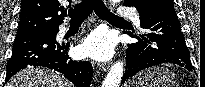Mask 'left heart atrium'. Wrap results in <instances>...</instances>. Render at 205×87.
Here are the masks:
<instances>
[{
  "label": "left heart atrium",
  "mask_w": 205,
  "mask_h": 87,
  "mask_svg": "<svg viewBox=\"0 0 205 87\" xmlns=\"http://www.w3.org/2000/svg\"><path fill=\"white\" fill-rule=\"evenodd\" d=\"M114 43L110 35L102 31L92 33L79 48L82 57L103 61L111 57Z\"/></svg>",
  "instance_id": "1"
}]
</instances>
